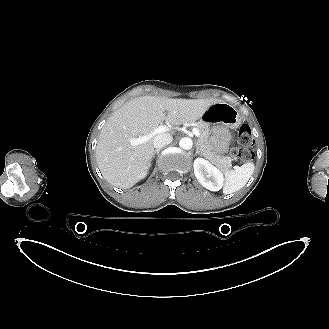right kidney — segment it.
<instances>
[{"instance_id":"1","label":"right kidney","mask_w":329,"mask_h":329,"mask_svg":"<svg viewBox=\"0 0 329 329\" xmlns=\"http://www.w3.org/2000/svg\"><path fill=\"white\" fill-rule=\"evenodd\" d=\"M146 174H147V170L143 171V172L141 173V178H144V177L146 176Z\"/></svg>"}]
</instances>
